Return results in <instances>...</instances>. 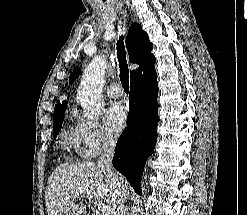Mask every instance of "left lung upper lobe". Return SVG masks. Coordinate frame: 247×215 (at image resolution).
I'll list each match as a JSON object with an SVG mask.
<instances>
[{
	"mask_svg": "<svg viewBox=\"0 0 247 215\" xmlns=\"http://www.w3.org/2000/svg\"><path fill=\"white\" fill-rule=\"evenodd\" d=\"M80 74V69H76L69 77V82L73 83L74 80L78 77V75Z\"/></svg>",
	"mask_w": 247,
	"mask_h": 215,
	"instance_id": "5c2ea615",
	"label": "left lung upper lobe"
}]
</instances>
